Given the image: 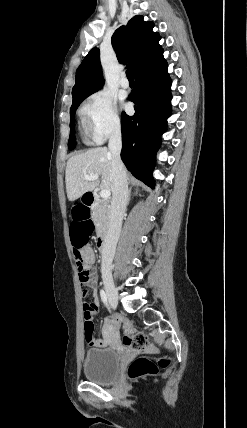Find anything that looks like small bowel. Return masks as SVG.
Wrapping results in <instances>:
<instances>
[{
  "instance_id": "1",
  "label": "small bowel",
  "mask_w": 247,
  "mask_h": 428,
  "mask_svg": "<svg viewBox=\"0 0 247 428\" xmlns=\"http://www.w3.org/2000/svg\"><path fill=\"white\" fill-rule=\"evenodd\" d=\"M82 257L84 259V261L89 265L90 267V279L87 283L85 284H81L83 286L89 287L92 289L93 293H92V300L88 303H86L90 308H91V313L92 316L97 315L98 313V309H99V298H98V294H97V272L94 268V263H95V254L94 251L92 250V248L90 247H85L82 250ZM109 343L108 339H93L91 343H88L90 346H95V347H105L107 346Z\"/></svg>"
}]
</instances>
